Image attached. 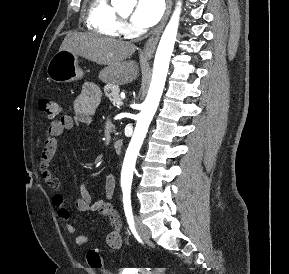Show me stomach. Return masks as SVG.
<instances>
[{
  "label": "stomach",
  "instance_id": "stomach-1",
  "mask_svg": "<svg viewBox=\"0 0 289 274\" xmlns=\"http://www.w3.org/2000/svg\"><path fill=\"white\" fill-rule=\"evenodd\" d=\"M47 75L57 83L81 79L83 71L78 65V55L68 50H59L47 65Z\"/></svg>",
  "mask_w": 289,
  "mask_h": 274
}]
</instances>
